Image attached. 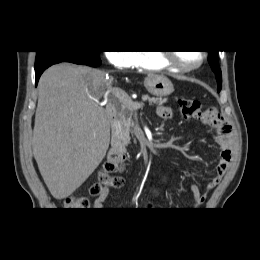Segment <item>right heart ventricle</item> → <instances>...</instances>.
Wrapping results in <instances>:
<instances>
[{
  "mask_svg": "<svg viewBox=\"0 0 260 260\" xmlns=\"http://www.w3.org/2000/svg\"><path fill=\"white\" fill-rule=\"evenodd\" d=\"M134 66L136 68L152 71H176V69L172 68L157 51L144 50L136 52Z\"/></svg>",
  "mask_w": 260,
  "mask_h": 260,
  "instance_id": "obj_1",
  "label": "right heart ventricle"
}]
</instances>
